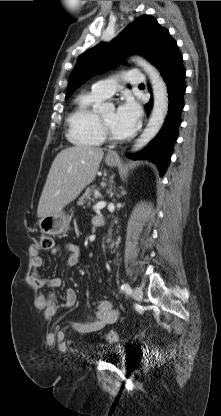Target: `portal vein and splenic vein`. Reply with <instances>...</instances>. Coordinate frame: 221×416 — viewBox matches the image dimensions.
Listing matches in <instances>:
<instances>
[{"instance_id": "18ae733b", "label": "portal vein and splenic vein", "mask_w": 221, "mask_h": 416, "mask_svg": "<svg viewBox=\"0 0 221 416\" xmlns=\"http://www.w3.org/2000/svg\"><path fill=\"white\" fill-rule=\"evenodd\" d=\"M96 195L99 194V192H95ZM106 206V202L105 201H100L98 202L93 208L94 209H102Z\"/></svg>"}]
</instances>
